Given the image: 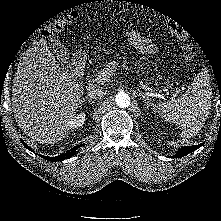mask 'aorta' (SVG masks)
Here are the masks:
<instances>
[{
  "label": "aorta",
  "mask_w": 221,
  "mask_h": 221,
  "mask_svg": "<svg viewBox=\"0 0 221 221\" xmlns=\"http://www.w3.org/2000/svg\"><path fill=\"white\" fill-rule=\"evenodd\" d=\"M116 105L120 108H126L130 106V97L125 92H118L115 96Z\"/></svg>",
  "instance_id": "aorta-1"
}]
</instances>
